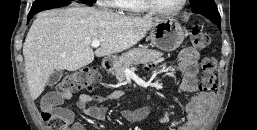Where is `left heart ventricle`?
Here are the masks:
<instances>
[{
  "label": "left heart ventricle",
  "instance_id": "left-heart-ventricle-1",
  "mask_svg": "<svg viewBox=\"0 0 257 130\" xmlns=\"http://www.w3.org/2000/svg\"><path fill=\"white\" fill-rule=\"evenodd\" d=\"M155 5L161 9L172 10L177 8L182 0H153Z\"/></svg>",
  "mask_w": 257,
  "mask_h": 130
}]
</instances>
